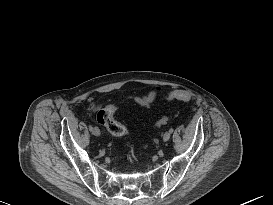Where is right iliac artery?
I'll return each instance as SVG.
<instances>
[{"label": "right iliac artery", "mask_w": 273, "mask_h": 205, "mask_svg": "<svg viewBox=\"0 0 273 205\" xmlns=\"http://www.w3.org/2000/svg\"><path fill=\"white\" fill-rule=\"evenodd\" d=\"M93 129V127L91 125H89V130L91 131Z\"/></svg>", "instance_id": "right-iliac-artery-1"}]
</instances>
